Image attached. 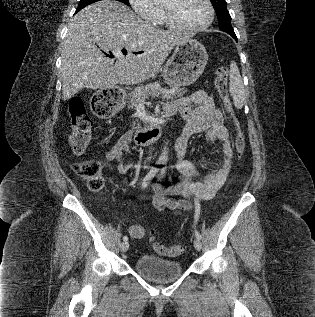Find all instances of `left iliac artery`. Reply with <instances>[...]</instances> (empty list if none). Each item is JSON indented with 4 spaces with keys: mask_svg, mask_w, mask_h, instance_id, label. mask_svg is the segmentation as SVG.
<instances>
[{
    "mask_svg": "<svg viewBox=\"0 0 315 317\" xmlns=\"http://www.w3.org/2000/svg\"><path fill=\"white\" fill-rule=\"evenodd\" d=\"M164 173H165V169L162 168L161 174L164 175ZM199 214H200V204L199 202L196 201L195 202V221H197V219L199 218ZM195 236L196 238L201 239V235L197 230H195Z\"/></svg>",
    "mask_w": 315,
    "mask_h": 317,
    "instance_id": "left-iliac-artery-1",
    "label": "left iliac artery"
}]
</instances>
